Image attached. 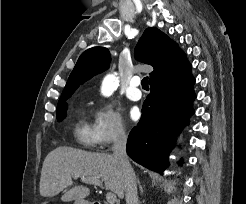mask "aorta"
I'll return each mask as SVG.
<instances>
[{"instance_id": "1", "label": "aorta", "mask_w": 246, "mask_h": 204, "mask_svg": "<svg viewBox=\"0 0 246 204\" xmlns=\"http://www.w3.org/2000/svg\"><path fill=\"white\" fill-rule=\"evenodd\" d=\"M118 86V78L114 74L107 75L102 83L101 91L103 95L109 96Z\"/></svg>"}]
</instances>
